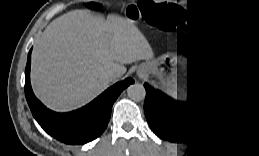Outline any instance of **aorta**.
<instances>
[{
	"instance_id": "1",
	"label": "aorta",
	"mask_w": 259,
	"mask_h": 156,
	"mask_svg": "<svg viewBox=\"0 0 259 156\" xmlns=\"http://www.w3.org/2000/svg\"><path fill=\"white\" fill-rule=\"evenodd\" d=\"M127 94L131 99L135 101H141L145 98L146 91L143 85L133 84L128 87Z\"/></svg>"
}]
</instances>
